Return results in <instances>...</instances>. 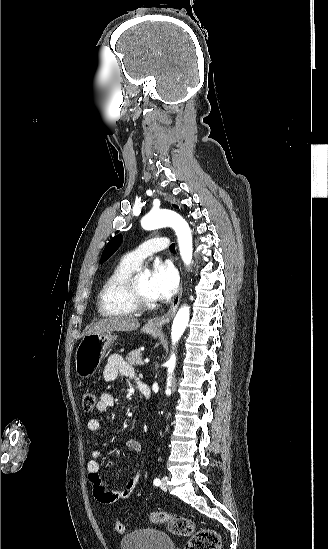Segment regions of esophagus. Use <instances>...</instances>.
I'll use <instances>...</instances> for the list:
<instances>
[{
  "instance_id": "esophagus-1",
  "label": "esophagus",
  "mask_w": 328,
  "mask_h": 549,
  "mask_svg": "<svg viewBox=\"0 0 328 549\" xmlns=\"http://www.w3.org/2000/svg\"><path fill=\"white\" fill-rule=\"evenodd\" d=\"M180 273H181V276H182V271H181V268H180ZM182 291H183V287H182V280H181V283H180V287H179V290H178V293L174 299V301L172 302V304L170 305L169 309H168V312L160 317H156L155 319H153L151 322H150V326L155 329V330H161L162 327L167 324L175 315L176 311H177V308L179 306V303H180V300H181V296H182Z\"/></svg>"
}]
</instances>
